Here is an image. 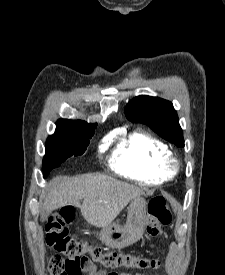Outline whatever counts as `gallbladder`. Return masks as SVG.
<instances>
[{
  "instance_id": "1",
  "label": "gallbladder",
  "mask_w": 225,
  "mask_h": 275,
  "mask_svg": "<svg viewBox=\"0 0 225 275\" xmlns=\"http://www.w3.org/2000/svg\"><path fill=\"white\" fill-rule=\"evenodd\" d=\"M51 214V211L43 208L41 209V219L45 220L49 215Z\"/></svg>"
}]
</instances>
